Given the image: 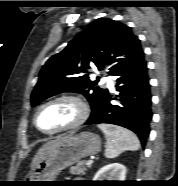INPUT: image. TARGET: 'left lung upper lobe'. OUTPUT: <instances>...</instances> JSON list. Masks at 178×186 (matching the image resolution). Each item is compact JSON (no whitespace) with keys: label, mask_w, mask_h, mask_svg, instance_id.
Here are the masks:
<instances>
[{"label":"left lung upper lobe","mask_w":178,"mask_h":186,"mask_svg":"<svg viewBox=\"0 0 178 186\" xmlns=\"http://www.w3.org/2000/svg\"><path fill=\"white\" fill-rule=\"evenodd\" d=\"M143 57L140 40L129 27L109 18L97 19L45 63L31 104L36 106L58 93L76 92L88 99L93 111L108 91L97 86L99 78L90 80L93 68H107L108 74L116 77Z\"/></svg>","instance_id":"obj_1"}]
</instances>
